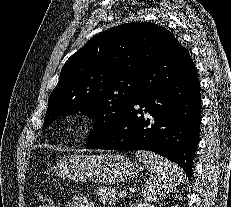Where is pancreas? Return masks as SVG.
<instances>
[{"mask_svg":"<svg viewBox=\"0 0 231 207\" xmlns=\"http://www.w3.org/2000/svg\"><path fill=\"white\" fill-rule=\"evenodd\" d=\"M97 195L103 203H108L110 205L116 203L119 199L118 191L107 187H100L97 191Z\"/></svg>","mask_w":231,"mask_h":207,"instance_id":"pancreas-1","label":"pancreas"}]
</instances>
